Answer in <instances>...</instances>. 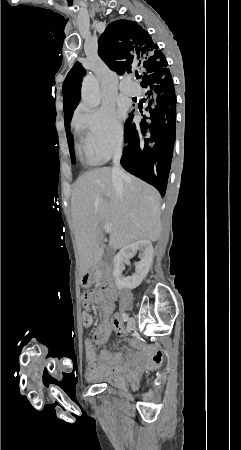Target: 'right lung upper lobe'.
<instances>
[{"instance_id": "obj_1", "label": "right lung upper lobe", "mask_w": 241, "mask_h": 450, "mask_svg": "<svg viewBox=\"0 0 241 450\" xmlns=\"http://www.w3.org/2000/svg\"><path fill=\"white\" fill-rule=\"evenodd\" d=\"M98 45L100 58L120 75L167 63L149 33L133 21L122 19L110 23L99 37ZM69 74L83 76L85 70L76 62Z\"/></svg>"}]
</instances>
